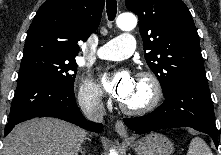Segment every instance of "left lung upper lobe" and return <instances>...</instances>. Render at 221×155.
I'll use <instances>...</instances> for the list:
<instances>
[{
    "label": "left lung upper lobe",
    "instance_id": "left-lung-upper-lobe-1",
    "mask_svg": "<svg viewBox=\"0 0 221 155\" xmlns=\"http://www.w3.org/2000/svg\"><path fill=\"white\" fill-rule=\"evenodd\" d=\"M139 18L145 59L159 79L164 97L181 81L206 77L199 36L181 0H126Z\"/></svg>",
    "mask_w": 221,
    "mask_h": 155
}]
</instances>
